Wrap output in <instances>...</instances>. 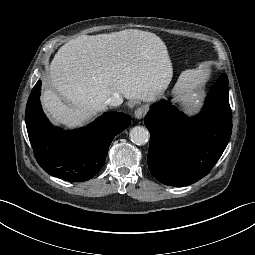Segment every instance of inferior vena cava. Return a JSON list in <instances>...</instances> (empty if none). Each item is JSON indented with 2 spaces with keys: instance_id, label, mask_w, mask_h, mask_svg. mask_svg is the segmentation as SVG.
<instances>
[{
  "instance_id": "inferior-vena-cava-1",
  "label": "inferior vena cava",
  "mask_w": 255,
  "mask_h": 255,
  "mask_svg": "<svg viewBox=\"0 0 255 255\" xmlns=\"http://www.w3.org/2000/svg\"><path fill=\"white\" fill-rule=\"evenodd\" d=\"M123 99L119 94H114L106 100V104L112 107H118L122 104Z\"/></svg>"
}]
</instances>
